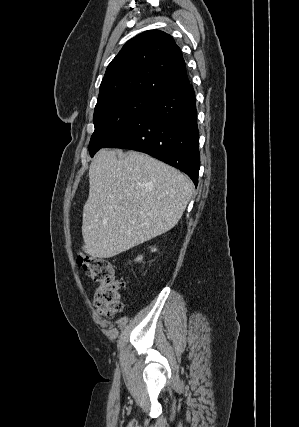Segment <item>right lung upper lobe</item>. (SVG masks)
Masks as SVG:
<instances>
[{"label":"right lung upper lobe","mask_w":299,"mask_h":427,"mask_svg":"<svg viewBox=\"0 0 299 427\" xmlns=\"http://www.w3.org/2000/svg\"><path fill=\"white\" fill-rule=\"evenodd\" d=\"M187 84L182 52L173 38L149 30L130 39L108 65L98 101L119 94L156 99Z\"/></svg>","instance_id":"1"}]
</instances>
